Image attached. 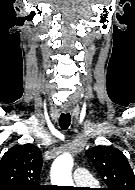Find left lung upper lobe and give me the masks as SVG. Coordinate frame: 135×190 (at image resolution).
Masks as SVG:
<instances>
[{"instance_id": "obj_1", "label": "left lung upper lobe", "mask_w": 135, "mask_h": 190, "mask_svg": "<svg viewBox=\"0 0 135 190\" xmlns=\"http://www.w3.org/2000/svg\"><path fill=\"white\" fill-rule=\"evenodd\" d=\"M108 188L135 190V175L125 155L112 146H95L86 151Z\"/></svg>"}]
</instances>
